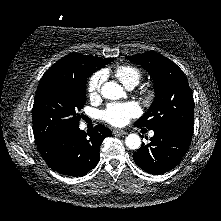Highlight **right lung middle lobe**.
Returning <instances> with one entry per match:
<instances>
[{
    "mask_svg": "<svg viewBox=\"0 0 221 221\" xmlns=\"http://www.w3.org/2000/svg\"><path fill=\"white\" fill-rule=\"evenodd\" d=\"M61 76L42 77L33 105V133L39 143L79 124L86 102V79Z\"/></svg>",
    "mask_w": 221,
    "mask_h": 221,
    "instance_id": "right-lung-middle-lobe-1",
    "label": "right lung middle lobe"
}]
</instances>
